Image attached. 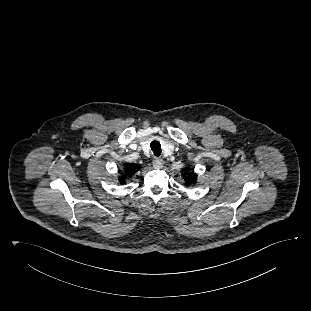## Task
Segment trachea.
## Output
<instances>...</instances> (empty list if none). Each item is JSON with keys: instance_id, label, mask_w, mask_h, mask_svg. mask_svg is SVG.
<instances>
[{"instance_id": "trachea-1", "label": "trachea", "mask_w": 311, "mask_h": 311, "mask_svg": "<svg viewBox=\"0 0 311 311\" xmlns=\"http://www.w3.org/2000/svg\"><path fill=\"white\" fill-rule=\"evenodd\" d=\"M150 147L155 156L161 155V144L158 141L151 142Z\"/></svg>"}]
</instances>
